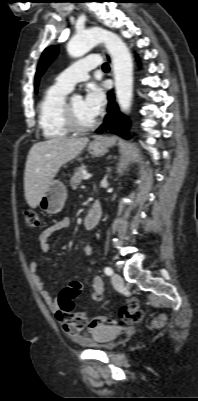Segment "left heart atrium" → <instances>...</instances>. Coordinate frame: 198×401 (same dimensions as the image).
<instances>
[{"label": "left heart atrium", "mask_w": 198, "mask_h": 401, "mask_svg": "<svg viewBox=\"0 0 198 401\" xmlns=\"http://www.w3.org/2000/svg\"><path fill=\"white\" fill-rule=\"evenodd\" d=\"M105 93L97 84L88 86L86 95L83 99L85 111L93 118H96L105 106Z\"/></svg>", "instance_id": "obj_1"}]
</instances>
